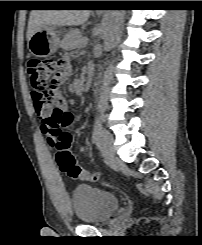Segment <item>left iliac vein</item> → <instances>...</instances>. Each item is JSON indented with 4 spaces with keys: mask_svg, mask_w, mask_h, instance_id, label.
Listing matches in <instances>:
<instances>
[{
    "mask_svg": "<svg viewBox=\"0 0 202 245\" xmlns=\"http://www.w3.org/2000/svg\"><path fill=\"white\" fill-rule=\"evenodd\" d=\"M98 145L101 155L107 161H111L115 158V147L113 144V139L106 130H102L100 133Z\"/></svg>",
    "mask_w": 202,
    "mask_h": 245,
    "instance_id": "obj_1",
    "label": "left iliac vein"
}]
</instances>
